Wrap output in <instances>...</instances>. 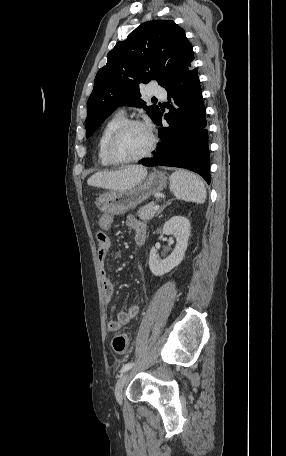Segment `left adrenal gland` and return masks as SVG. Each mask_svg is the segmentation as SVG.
<instances>
[{"label":"left adrenal gland","mask_w":286,"mask_h":456,"mask_svg":"<svg viewBox=\"0 0 286 456\" xmlns=\"http://www.w3.org/2000/svg\"><path fill=\"white\" fill-rule=\"evenodd\" d=\"M170 203H171V201H169L165 206H163V207L161 208V210L157 213V215L160 214V213L163 211V209H164L167 205H169Z\"/></svg>","instance_id":"1"}]
</instances>
